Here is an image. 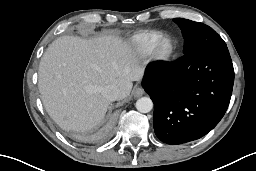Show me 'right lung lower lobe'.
I'll use <instances>...</instances> for the list:
<instances>
[{
    "label": "right lung lower lobe",
    "mask_w": 256,
    "mask_h": 171,
    "mask_svg": "<svg viewBox=\"0 0 256 171\" xmlns=\"http://www.w3.org/2000/svg\"><path fill=\"white\" fill-rule=\"evenodd\" d=\"M117 112H112L110 113L106 119L104 120V122L102 123V125L100 126V128L96 131H94L93 133H88L84 136V138L91 140V141H105L107 140L109 137H111L114 126H115V122L117 119Z\"/></svg>",
    "instance_id": "right-lung-lower-lobe-1"
}]
</instances>
